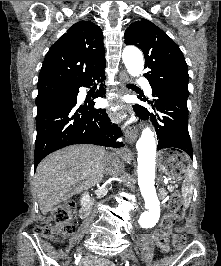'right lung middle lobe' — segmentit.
<instances>
[{
  "mask_svg": "<svg viewBox=\"0 0 221 266\" xmlns=\"http://www.w3.org/2000/svg\"><path fill=\"white\" fill-rule=\"evenodd\" d=\"M74 90V87L60 85H47L38 87V96L36 98L37 108H40L50 100L62 96Z\"/></svg>",
  "mask_w": 221,
  "mask_h": 266,
  "instance_id": "1",
  "label": "right lung middle lobe"
}]
</instances>
